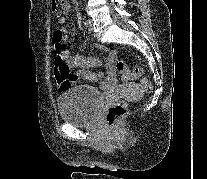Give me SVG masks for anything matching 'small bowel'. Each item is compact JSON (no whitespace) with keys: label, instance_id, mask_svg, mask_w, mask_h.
<instances>
[{"label":"small bowel","instance_id":"c3829d8e","mask_svg":"<svg viewBox=\"0 0 207 179\" xmlns=\"http://www.w3.org/2000/svg\"><path fill=\"white\" fill-rule=\"evenodd\" d=\"M69 12L70 6L68 5L66 15H68ZM65 21V16L59 18L60 24H63ZM59 30L62 32V34L65 32L64 28H60ZM96 48L99 51L105 52L108 56L106 63L107 77L105 79L103 72L91 71L92 68L99 67L101 65V61L99 59L93 57L86 58L83 56H71L68 51H64V56L67 60L69 67L75 70V72L73 73V77L77 81L86 80L90 82H95L98 88L102 90H109L117 83L116 64L118 60V53L115 50L105 47L101 44H96Z\"/></svg>","mask_w":207,"mask_h":179}]
</instances>
